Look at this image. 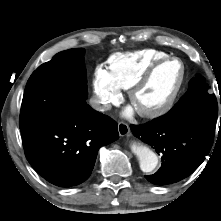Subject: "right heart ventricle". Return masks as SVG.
Returning <instances> with one entry per match:
<instances>
[{
  "label": "right heart ventricle",
  "mask_w": 221,
  "mask_h": 221,
  "mask_svg": "<svg viewBox=\"0 0 221 221\" xmlns=\"http://www.w3.org/2000/svg\"><path fill=\"white\" fill-rule=\"evenodd\" d=\"M166 57L169 54L156 49L116 53L107 61L108 72L121 89L127 90L153 63Z\"/></svg>",
  "instance_id": "1"
}]
</instances>
